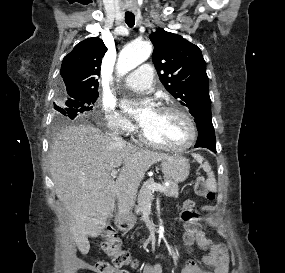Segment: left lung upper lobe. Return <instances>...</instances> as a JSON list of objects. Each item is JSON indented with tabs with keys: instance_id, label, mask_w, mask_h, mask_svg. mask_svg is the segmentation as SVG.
Wrapping results in <instances>:
<instances>
[{
	"instance_id": "left-lung-upper-lobe-1",
	"label": "left lung upper lobe",
	"mask_w": 285,
	"mask_h": 273,
	"mask_svg": "<svg viewBox=\"0 0 285 273\" xmlns=\"http://www.w3.org/2000/svg\"><path fill=\"white\" fill-rule=\"evenodd\" d=\"M150 39L152 60L166 90L189 108L195 121L211 116L206 62L199 47L163 29L152 33Z\"/></svg>"
}]
</instances>
